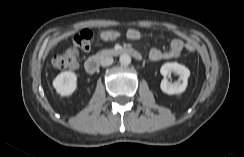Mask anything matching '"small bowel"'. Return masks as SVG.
<instances>
[{
    "label": "small bowel",
    "instance_id": "1",
    "mask_svg": "<svg viewBox=\"0 0 244 157\" xmlns=\"http://www.w3.org/2000/svg\"><path fill=\"white\" fill-rule=\"evenodd\" d=\"M141 37V33L136 29H129L126 32V38L130 41H136ZM183 41L174 38L170 41V46L168 50H161L159 48H153L149 52V60L152 62H157L165 59H175L180 57L183 51Z\"/></svg>",
    "mask_w": 244,
    "mask_h": 157
}]
</instances>
